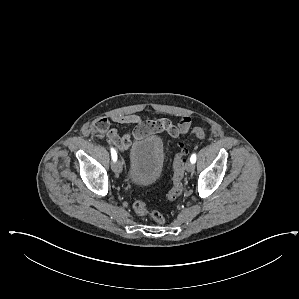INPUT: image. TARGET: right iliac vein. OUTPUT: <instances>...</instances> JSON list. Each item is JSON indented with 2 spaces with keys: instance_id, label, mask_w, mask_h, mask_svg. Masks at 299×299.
<instances>
[{
  "instance_id": "right-iliac-vein-1",
  "label": "right iliac vein",
  "mask_w": 299,
  "mask_h": 299,
  "mask_svg": "<svg viewBox=\"0 0 299 299\" xmlns=\"http://www.w3.org/2000/svg\"><path fill=\"white\" fill-rule=\"evenodd\" d=\"M112 169L116 174H120L122 172V165L120 161L113 163Z\"/></svg>"
}]
</instances>
